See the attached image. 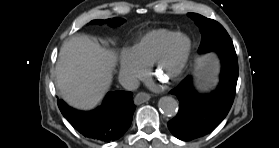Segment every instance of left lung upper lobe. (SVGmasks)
Returning <instances> with one entry per match:
<instances>
[{
    "mask_svg": "<svg viewBox=\"0 0 279 148\" xmlns=\"http://www.w3.org/2000/svg\"><path fill=\"white\" fill-rule=\"evenodd\" d=\"M187 15L194 20L202 34V40L198 49L199 53L233 46L230 36L221 24L196 13H188Z\"/></svg>",
    "mask_w": 279,
    "mask_h": 148,
    "instance_id": "1",
    "label": "left lung upper lobe"
}]
</instances>
